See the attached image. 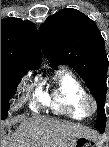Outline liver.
<instances>
[{
  "label": "liver",
  "mask_w": 109,
  "mask_h": 147,
  "mask_svg": "<svg viewBox=\"0 0 109 147\" xmlns=\"http://www.w3.org/2000/svg\"><path fill=\"white\" fill-rule=\"evenodd\" d=\"M97 140L90 128L52 118L32 117L22 122L11 137H2L3 147H74L78 137Z\"/></svg>",
  "instance_id": "obj_1"
}]
</instances>
